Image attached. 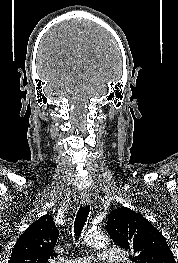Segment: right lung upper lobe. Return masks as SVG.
Segmentation results:
<instances>
[{
    "instance_id": "1",
    "label": "right lung upper lobe",
    "mask_w": 178,
    "mask_h": 263,
    "mask_svg": "<svg viewBox=\"0 0 178 263\" xmlns=\"http://www.w3.org/2000/svg\"><path fill=\"white\" fill-rule=\"evenodd\" d=\"M59 231L51 215H44L33 222L19 237L9 263H48L56 256L53 248Z\"/></svg>"
}]
</instances>
